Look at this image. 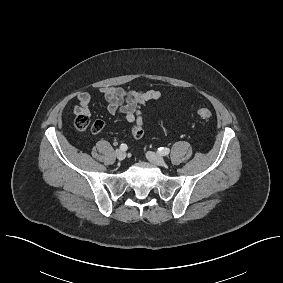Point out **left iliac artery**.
Returning a JSON list of instances; mask_svg holds the SVG:
<instances>
[{"mask_svg":"<svg viewBox=\"0 0 283 283\" xmlns=\"http://www.w3.org/2000/svg\"><path fill=\"white\" fill-rule=\"evenodd\" d=\"M169 152H170L169 148H164V147L158 148V153L162 156L168 155Z\"/></svg>","mask_w":283,"mask_h":283,"instance_id":"left-iliac-artery-1","label":"left iliac artery"}]
</instances>
